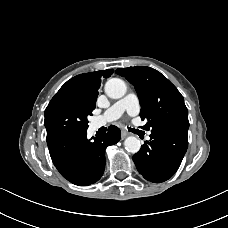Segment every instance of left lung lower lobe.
Here are the masks:
<instances>
[{"label": "left lung lower lobe", "mask_w": 228, "mask_h": 228, "mask_svg": "<svg viewBox=\"0 0 228 228\" xmlns=\"http://www.w3.org/2000/svg\"><path fill=\"white\" fill-rule=\"evenodd\" d=\"M150 138L133 160L146 180L164 182L178 170L188 148V135L176 129H157L151 131Z\"/></svg>", "instance_id": "1"}]
</instances>
